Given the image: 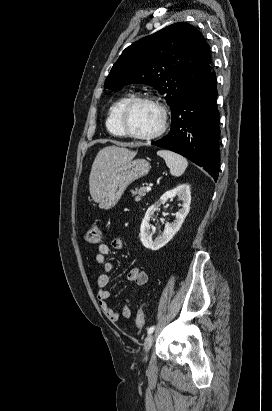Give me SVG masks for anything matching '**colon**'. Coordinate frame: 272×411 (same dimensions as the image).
<instances>
[{"mask_svg":"<svg viewBox=\"0 0 272 411\" xmlns=\"http://www.w3.org/2000/svg\"><path fill=\"white\" fill-rule=\"evenodd\" d=\"M101 229L97 224H93L86 233V240L89 243H97L101 238ZM145 307L142 305L136 314V326L139 330H142L145 325Z\"/></svg>","mask_w":272,"mask_h":411,"instance_id":"colon-1","label":"colon"}]
</instances>
